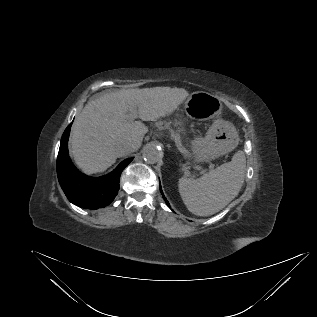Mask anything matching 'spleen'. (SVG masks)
Segmentation results:
<instances>
[{"label":"spleen","instance_id":"spleen-1","mask_svg":"<svg viewBox=\"0 0 317 317\" xmlns=\"http://www.w3.org/2000/svg\"><path fill=\"white\" fill-rule=\"evenodd\" d=\"M246 158L236 152L232 160L198 179H179V193L187 209L198 216H209L225 208L239 193L245 178Z\"/></svg>","mask_w":317,"mask_h":317}]
</instances>
